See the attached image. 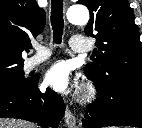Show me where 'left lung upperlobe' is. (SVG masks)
<instances>
[{
    "instance_id": "5c2ea615",
    "label": "left lung upper lobe",
    "mask_w": 142,
    "mask_h": 128,
    "mask_svg": "<svg viewBox=\"0 0 142 128\" xmlns=\"http://www.w3.org/2000/svg\"><path fill=\"white\" fill-rule=\"evenodd\" d=\"M90 11L85 28L95 37L97 56L85 66V75L98 89H142V43L128 0H78Z\"/></svg>"
}]
</instances>
